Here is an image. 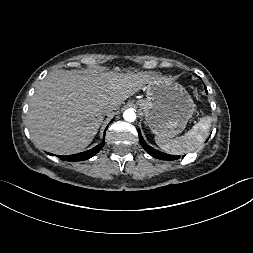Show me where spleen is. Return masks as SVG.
<instances>
[{
  "mask_svg": "<svg viewBox=\"0 0 253 253\" xmlns=\"http://www.w3.org/2000/svg\"><path fill=\"white\" fill-rule=\"evenodd\" d=\"M212 118L205 116L190 131L177 139L161 135L155 136L156 144L165 152L173 155L189 153L200 147L209 135Z\"/></svg>",
  "mask_w": 253,
  "mask_h": 253,
  "instance_id": "spleen-1",
  "label": "spleen"
}]
</instances>
